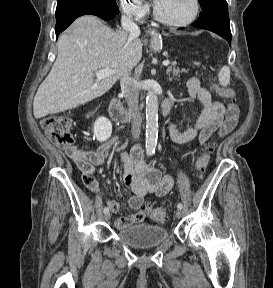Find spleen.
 I'll list each match as a JSON object with an SVG mask.
<instances>
[{
	"label": "spleen",
	"mask_w": 273,
	"mask_h": 288,
	"mask_svg": "<svg viewBox=\"0 0 273 288\" xmlns=\"http://www.w3.org/2000/svg\"><path fill=\"white\" fill-rule=\"evenodd\" d=\"M218 80L221 86L226 87L230 81V68L223 66L218 73Z\"/></svg>",
	"instance_id": "3e777b00"
}]
</instances>
